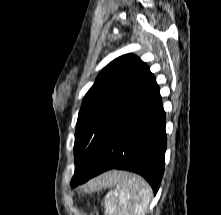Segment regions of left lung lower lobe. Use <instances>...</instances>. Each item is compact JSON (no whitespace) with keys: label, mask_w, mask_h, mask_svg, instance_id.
Wrapping results in <instances>:
<instances>
[{"label":"left lung lower lobe","mask_w":221,"mask_h":215,"mask_svg":"<svg viewBox=\"0 0 221 215\" xmlns=\"http://www.w3.org/2000/svg\"><path fill=\"white\" fill-rule=\"evenodd\" d=\"M166 141L165 112L159 87L151 75L115 119L89 171L71 185L76 187L107 170L120 169L143 176L156 195L164 173Z\"/></svg>","instance_id":"0a47b994"}]
</instances>
